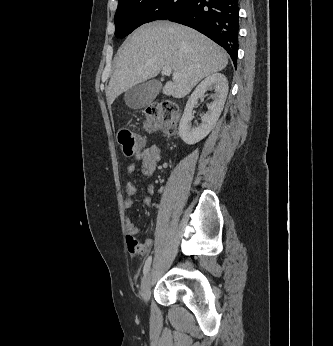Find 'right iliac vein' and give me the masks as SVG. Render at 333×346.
Wrapping results in <instances>:
<instances>
[{
    "instance_id": "obj_1",
    "label": "right iliac vein",
    "mask_w": 333,
    "mask_h": 346,
    "mask_svg": "<svg viewBox=\"0 0 333 346\" xmlns=\"http://www.w3.org/2000/svg\"><path fill=\"white\" fill-rule=\"evenodd\" d=\"M151 293V274L148 272L141 283V296L145 303L148 302Z\"/></svg>"
}]
</instances>
